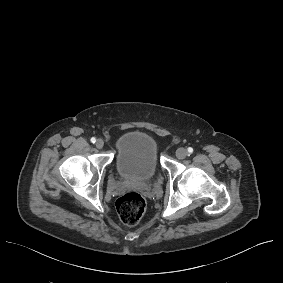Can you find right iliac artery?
Here are the masks:
<instances>
[{"label": "right iliac artery", "mask_w": 283, "mask_h": 283, "mask_svg": "<svg viewBox=\"0 0 283 283\" xmlns=\"http://www.w3.org/2000/svg\"><path fill=\"white\" fill-rule=\"evenodd\" d=\"M91 142H92V143H95V142H96V139H95L94 137H92V138H91Z\"/></svg>", "instance_id": "82829eb1"}]
</instances>
